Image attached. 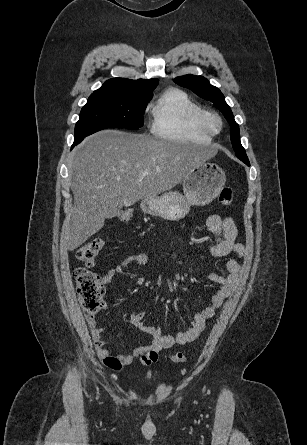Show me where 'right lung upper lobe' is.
<instances>
[{
  "mask_svg": "<svg viewBox=\"0 0 307 445\" xmlns=\"http://www.w3.org/2000/svg\"><path fill=\"white\" fill-rule=\"evenodd\" d=\"M158 79L150 80H129L124 78H113L107 80L101 88L94 91V95H113L118 97H132L140 99H150L153 90L158 85Z\"/></svg>",
  "mask_w": 307,
  "mask_h": 445,
  "instance_id": "1",
  "label": "right lung upper lobe"
}]
</instances>
